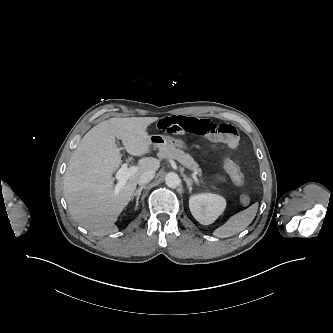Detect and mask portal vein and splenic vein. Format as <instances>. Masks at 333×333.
I'll use <instances>...</instances> for the list:
<instances>
[{
	"mask_svg": "<svg viewBox=\"0 0 333 333\" xmlns=\"http://www.w3.org/2000/svg\"><path fill=\"white\" fill-rule=\"evenodd\" d=\"M137 166L128 167L127 163H124L116 173V179L118 183L115 185V191L119 192L120 189L125 186L127 180L137 172ZM193 179L197 180L196 174H192Z\"/></svg>",
	"mask_w": 333,
	"mask_h": 333,
	"instance_id": "portal-vein-and-splenic-vein-1",
	"label": "portal vein and splenic vein"
}]
</instances>
